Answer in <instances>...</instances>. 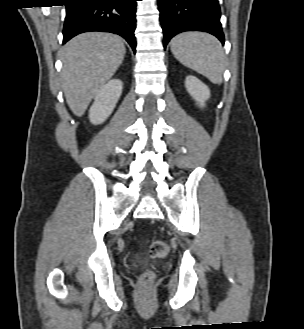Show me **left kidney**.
<instances>
[{"label": "left kidney", "instance_id": "left-kidney-1", "mask_svg": "<svg viewBox=\"0 0 304 329\" xmlns=\"http://www.w3.org/2000/svg\"><path fill=\"white\" fill-rule=\"evenodd\" d=\"M185 86L197 104L200 107H204L205 101L210 97V89L195 76H187Z\"/></svg>", "mask_w": 304, "mask_h": 329}]
</instances>
